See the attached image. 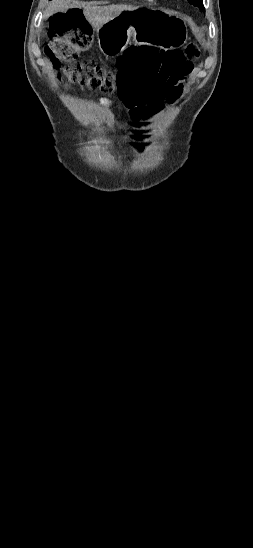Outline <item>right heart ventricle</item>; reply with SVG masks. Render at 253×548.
<instances>
[{"mask_svg":"<svg viewBox=\"0 0 253 548\" xmlns=\"http://www.w3.org/2000/svg\"><path fill=\"white\" fill-rule=\"evenodd\" d=\"M147 1H151V2H153V1H156V0H147Z\"/></svg>","mask_w":253,"mask_h":548,"instance_id":"right-heart-ventricle-1","label":"right heart ventricle"}]
</instances>
